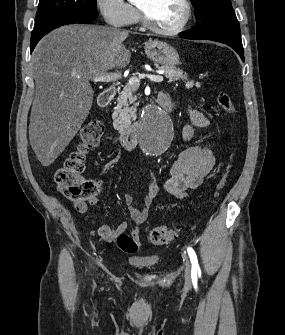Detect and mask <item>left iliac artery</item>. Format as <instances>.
Instances as JSON below:
<instances>
[{
    "mask_svg": "<svg viewBox=\"0 0 285 335\" xmlns=\"http://www.w3.org/2000/svg\"><path fill=\"white\" fill-rule=\"evenodd\" d=\"M187 251H188V255L190 257V261H191V264H192V270H191L192 280H196L197 279V273L199 274V272H200V267H199V264H198L197 256H196L195 251L191 247H188Z\"/></svg>",
    "mask_w": 285,
    "mask_h": 335,
    "instance_id": "44dca946",
    "label": "left iliac artery"
}]
</instances>
